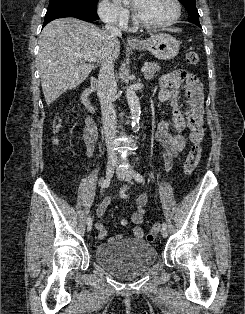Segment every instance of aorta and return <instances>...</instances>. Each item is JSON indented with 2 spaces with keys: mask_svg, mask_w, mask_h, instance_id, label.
<instances>
[{
  "mask_svg": "<svg viewBox=\"0 0 245 314\" xmlns=\"http://www.w3.org/2000/svg\"><path fill=\"white\" fill-rule=\"evenodd\" d=\"M126 98L131 112L132 127L136 129L138 127L141 114L140 102L135 92L131 89L126 90Z\"/></svg>",
  "mask_w": 245,
  "mask_h": 314,
  "instance_id": "762f6f07",
  "label": "aorta"
}]
</instances>
